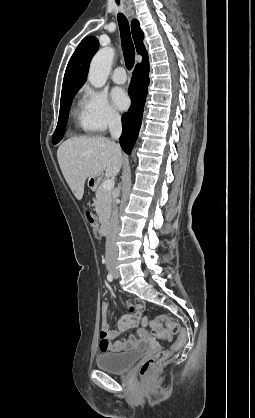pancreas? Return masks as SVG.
Instances as JSON below:
<instances>
[{
	"label": "pancreas",
	"instance_id": "cf45deb5",
	"mask_svg": "<svg viewBox=\"0 0 255 418\" xmlns=\"http://www.w3.org/2000/svg\"><path fill=\"white\" fill-rule=\"evenodd\" d=\"M95 209L100 220L107 218L111 211L112 191L105 190L102 184H99L95 190Z\"/></svg>",
	"mask_w": 255,
	"mask_h": 418
}]
</instances>
